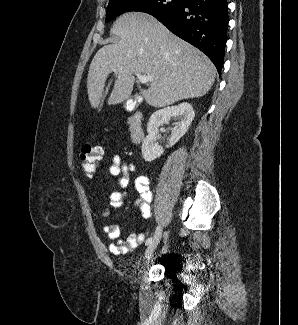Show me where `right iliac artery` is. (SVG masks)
Wrapping results in <instances>:
<instances>
[{
	"mask_svg": "<svg viewBox=\"0 0 298 325\" xmlns=\"http://www.w3.org/2000/svg\"><path fill=\"white\" fill-rule=\"evenodd\" d=\"M151 241H152V238H148L147 240H146V245H149L150 243H151Z\"/></svg>",
	"mask_w": 298,
	"mask_h": 325,
	"instance_id": "obj_1",
	"label": "right iliac artery"
}]
</instances>
